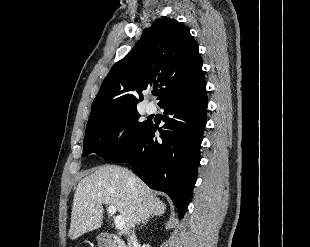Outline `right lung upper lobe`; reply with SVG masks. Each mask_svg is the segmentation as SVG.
Masks as SVG:
<instances>
[{
	"instance_id": "cb5924a9",
	"label": "right lung upper lobe",
	"mask_w": 310,
	"mask_h": 247,
	"mask_svg": "<svg viewBox=\"0 0 310 247\" xmlns=\"http://www.w3.org/2000/svg\"><path fill=\"white\" fill-rule=\"evenodd\" d=\"M198 43L175 19L160 18L111 69L93 101L88 123L136 109L142 91L160 87L158 105L205 81Z\"/></svg>"
}]
</instances>
